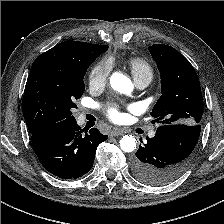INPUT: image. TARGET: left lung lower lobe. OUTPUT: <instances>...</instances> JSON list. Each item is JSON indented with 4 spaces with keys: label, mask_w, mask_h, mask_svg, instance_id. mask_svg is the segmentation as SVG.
I'll list each match as a JSON object with an SVG mask.
<instances>
[{
    "label": "left lung lower lobe",
    "mask_w": 224,
    "mask_h": 224,
    "mask_svg": "<svg viewBox=\"0 0 224 224\" xmlns=\"http://www.w3.org/2000/svg\"><path fill=\"white\" fill-rule=\"evenodd\" d=\"M201 126L169 124L160 126L154 138H146L132 160L135 177L148 185H166L187 168Z\"/></svg>",
    "instance_id": "left-lung-lower-lobe-1"
}]
</instances>
